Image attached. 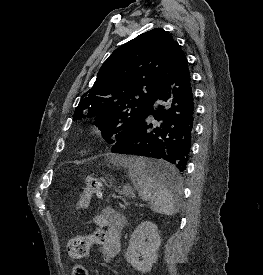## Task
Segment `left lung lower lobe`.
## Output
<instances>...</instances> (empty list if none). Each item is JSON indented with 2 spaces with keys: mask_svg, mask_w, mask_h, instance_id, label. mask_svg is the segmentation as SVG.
<instances>
[{
  "mask_svg": "<svg viewBox=\"0 0 263 275\" xmlns=\"http://www.w3.org/2000/svg\"><path fill=\"white\" fill-rule=\"evenodd\" d=\"M157 99L166 104L160 105L158 110H153L152 105ZM149 115H153L159 123L149 124ZM194 121L195 102L188 62L180 49L175 51L141 123L130 136L117 141L111 152L169 162V167H152L149 174L172 188L177 185L179 176L187 169Z\"/></svg>",
  "mask_w": 263,
  "mask_h": 275,
  "instance_id": "0a47b994",
  "label": "left lung lower lobe"
}]
</instances>
